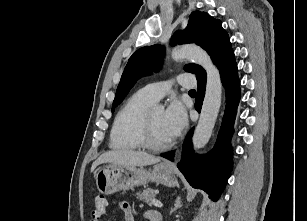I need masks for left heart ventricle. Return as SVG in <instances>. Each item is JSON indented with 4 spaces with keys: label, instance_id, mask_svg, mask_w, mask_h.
<instances>
[{
    "label": "left heart ventricle",
    "instance_id": "b2bd125f",
    "mask_svg": "<svg viewBox=\"0 0 307 221\" xmlns=\"http://www.w3.org/2000/svg\"><path fill=\"white\" fill-rule=\"evenodd\" d=\"M153 139L156 143L162 144L170 141L164 123V112L162 110H153L152 112Z\"/></svg>",
    "mask_w": 307,
    "mask_h": 221
}]
</instances>
